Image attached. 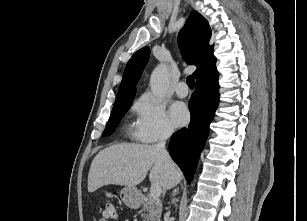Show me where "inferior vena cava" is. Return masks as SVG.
I'll list each match as a JSON object with an SVG mask.
<instances>
[{
    "instance_id": "1",
    "label": "inferior vena cava",
    "mask_w": 307,
    "mask_h": 221,
    "mask_svg": "<svg viewBox=\"0 0 307 221\" xmlns=\"http://www.w3.org/2000/svg\"><path fill=\"white\" fill-rule=\"evenodd\" d=\"M172 134V128L169 126H165L162 130L161 133V137H160V142L158 144H156V147L158 150H160L162 152V154L164 155V158L166 160V163L171 166L172 165V160L170 158L169 153L167 152L166 148H165V143L166 140L171 136ZM178 189H175L173 191V195H175L177 193Z\"/></svg>"
}]
</instances>
